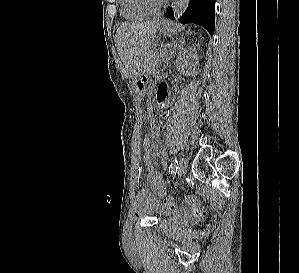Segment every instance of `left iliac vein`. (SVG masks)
Instances as JSON below:
<instances>
[{
    "mask_svg": "<svg viewBox=\"0 0 299 273\" xmlns=\"http://www.w3.org/2000/svg\"><path fill=\"white\" fill-rule=\"evenodd\" d=\"M187 167H188V163L184 158H180L179 160V166H178V176L182 177L185 175L186 171H187Z\"/></svg>",
    "mask_w": 299,
    "mask_h": 273,
    "instance_id": "4c4485c4",
    "label": "left iliac vein"
}]
</instances>
